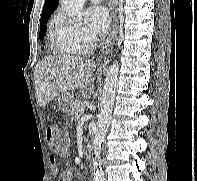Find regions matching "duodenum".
Segmentation results:
<instances>
[{"instance_id": "obj_1", "label": "duodenum", "mask_w": 197, "mask_h": 181, "mask_svg": "<svg viewBox=\"0 0 197 181\" xmlns=\"http://www.w3.org/2000/svg\"><path fill=\"white\" fill-rule=\"evenodd\" d=\"M85 156L87 159H91L92 157V147L90 145H87L85 149Z\"/></svg>"}]
</instances>
